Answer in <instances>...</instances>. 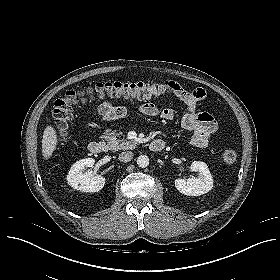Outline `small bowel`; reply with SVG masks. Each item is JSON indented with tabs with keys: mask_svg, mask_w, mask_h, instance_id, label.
Masks as SVG:
<instances>
[{
	"mask_svg": "<svg viewBox=\"0 0 280 280\" xmlns=\"http://www.w3.org/2000/svg\"><path fill=\"white\" fill-rule=\"evenodd\" d=\"M167 87L172 94L180 99L186 109L183 112L182 127L192 133L191 141L197 147H206L211 138L218 132L219 125L216 119L208 112H199L198 105L205 99L206 91L203 88L187 90L180 84L170 81ZM139 112L145 116L159 117L164 121L173 120L175 112L171 108H160L154 103H143L139 106ZM127 114L124 106H115L104 103L99 109V115L106 120L121 118Z\"/></svg>",
	"mask_w": 280,
	"mask_h": 280,
	"instance_id": "1",
	"label": "small bowel"
}]
</instances>
